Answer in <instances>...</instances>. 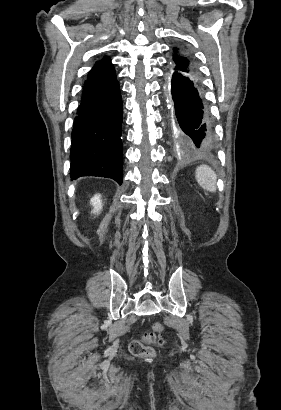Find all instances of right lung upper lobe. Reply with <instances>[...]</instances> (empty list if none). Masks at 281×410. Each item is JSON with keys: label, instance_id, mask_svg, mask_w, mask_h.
<instances>
[{"label": "right lung upper lobe", "instance_id": "right-lung-upper-lobe-1", "mask_svg": "<svg viewBox=\"0 0 281 410\" xmlns=\"http://www.w3.org/2000/svg\"><path fill=\"white\" fill-rule=\"evenodd\" d=\"M116 80L115 69L108 57L98 61L91 69L85 81L83 93L101 89Z\"/></svg>", "mask_w": 281, "mask_h": 410}]
</instances>
